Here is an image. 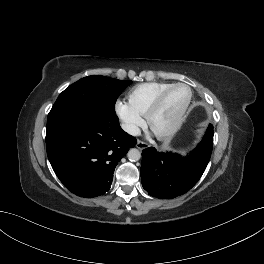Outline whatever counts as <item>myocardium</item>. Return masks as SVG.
I'll return each instance as SVG.
<instances>
[{
	"mask_svg": "<svg viewBox=\"0 0 264 264\" xmlns=\"http://www.w3.org/2000/svg\"><path fill=\"white\" fill-rule=\"evenodd\" d=\"M176 87L186 88L188 90V98H187L185 104L183 105L182 109L180 110V112L178 113L176 118L174 119V121L166 129L158 131V130L154 129V127H153V118L156 115V113L160 110L166 95L172 89H174ZM191 101H192V90L187 84H185V83L170 84L168 87L164 88L156 96V98L154 99V101L150 105L149 109L147 110V112L145 114V118H146V123H147L148 127L159 138H166V137L173 135L180 128V126L184 120V117L186 115V112L190 106Z\"/></svg>",
	"mask_w": 264,
	"mask_h": 264,
	"instance_id": "myocardium-1",
	"label": "myocardium"
}]
</instances>
